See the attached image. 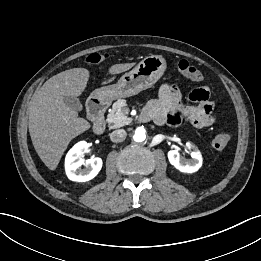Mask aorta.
I'll use <instances>...</instances> for the list:
<instances>
[{
  "mask_svg": "<svg viewBox=\"0 0 261 261\" xmlns=\"http://www.w3.org/2000/svg\"><path fill=\"white\" fill-rule=\"evenodd\" d=\"M133 139L135 142L141 143L146 139V131L142 127L136 128L134 131Z\"/></svg>",
  "mask_w": 261,
  "mask_h": 261,
  "instance_id": "762f6f07",
  "label": "aorta"
}]
</instances>
